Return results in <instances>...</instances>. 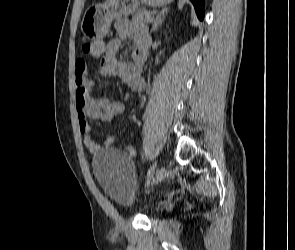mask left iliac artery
Segmentation results:
<instances>
[{
  "label": "left iliac artery",
  "mask_w": 295,
  "mask_h": 250,
  "mask_svg": "<svg viewBox=\"0 0 295 250\" xmlns=\"http://www.w3.org/2000/svg\"><path fill=\"white\" fill-rule=\"evenodd\" d=\"M155 168H156V162L152 164L150 168L148 169L145 186H148L151 179L153 178V175L155 173Z\"/></svg>",
  "instance_id": "obj_1"
}]
</instances>
